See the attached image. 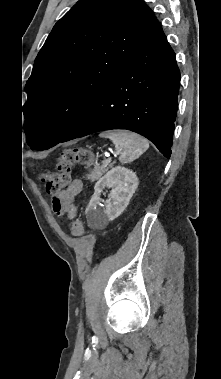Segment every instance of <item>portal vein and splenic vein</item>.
<instances>
[{"instance_id":"obj_1","label":"portal vein and splenic vein","mask_w":221,"mask_h":379,"mask_svg":"<svg viewBox=\"0 0 221 379\" xmlns=\"http://www.w3.org/2000/svg\"><path fill=\"white\" fill-rule=\"evenodd\" d=\"M112 160V157L110 155L107 156V158L105 159V164H109Z\"/></svg>"}]
</instances>
